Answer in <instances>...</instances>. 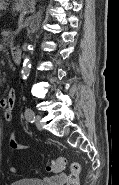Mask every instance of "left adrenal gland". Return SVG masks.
<instances>
[{"instance_id": "left-adrenal-gland-1", "label": "left adrenal gland", "mask_w": 119, "mask_h": 185, "mask_svg": "<svg viewBox=\"0 0 119 185\" xmlns=\"http://www.w3.org/2000/svg\"><path fill=\"white\" fill-rule=\"evenodd\" d=\"M35 21L38 23L39 22V19H41V14H38L35 16ZM33 23H34V20H33ZM34 25V24H33ZM35 26V25H34Z\"/></svg>"}]
</instances>
